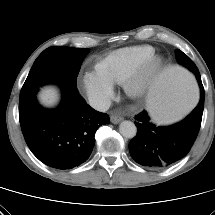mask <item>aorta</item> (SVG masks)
I'll return each instance as SVG.
<instances>
[{"instance_id": "obj_1", "label": "aorta", "mask_w": 215, "mask_h": 215, "mask_svg": "<svg viewBox=\"0 0 215 215\" xmlns=\"http://www.w3.org/2000/svg\"><path fill=\"white\" fill-rule=\"evenodd\" d=\"M119 132L126 138H133L136 136L137 128L133 122L125 120L120 123Z\"/></svg>"}]
</instances>
